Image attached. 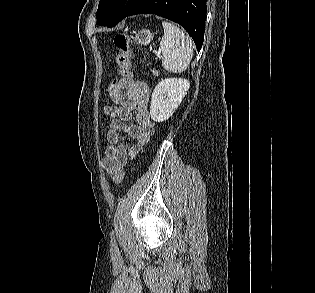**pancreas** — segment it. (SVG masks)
<instances>
[{"instance_id":"1","label":"pancreas","mask_w":315,"mask_h":293,"mask_svg":"<svg viewBox=\"0 0 315 293\" xmlns=\"http://www.w3.org/2000/svg\"><path fill=\"white\" fill-rule=\"evenodd\" d=\"M152 72H153V75H154V76H159V74H160L159 71H157L156 69H153Z\"/></svg>"}]
</instances>
